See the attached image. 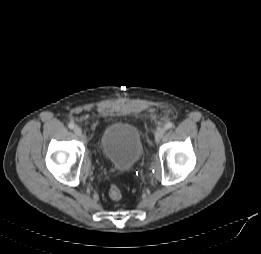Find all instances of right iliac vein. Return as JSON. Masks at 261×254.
<instances>
[{
  "mask_svg": "<svg viewBox=\"0 0 261 254\" xmlns=\"http://www.w3.org/2000/svg\"><path fill=\"white\" fill-rule=\"evenodd\" d=\"M75 135H77L78 137L82 136V129L79 126H75L73 129Z\"/></svg>",
  "mask_w": 261,
  "mask_h": 254,
  "instance_id": "1",
  "label": "right iliac vein"
}]
</instances>
